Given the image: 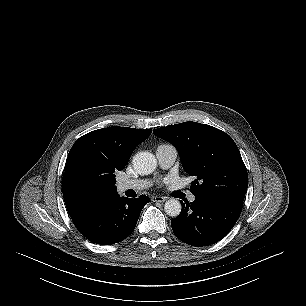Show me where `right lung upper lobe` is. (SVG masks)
<instances>
[{
  "label": "right lung upper lobe",
  "mask_w": 306,
  "mask_h": 306,
  "mask_svg": "<svg viewBox=\"0 0 306 306\" xmlns=\"http://www.w3.org/2000/svg\"><path fill=\"white\" fill-rule=\"evenodd\" d=\"M151 132L152 129L113 126L89 132L74 143L62 178L63 197L72 219L119 196L115 186H101L94 190L80 186L75 176L80 158L87 156L95 165L102 167L101 164L108 163L123 169L136 146L146 140Z\"/></svg>",
  "instance_id": "right-lung-upper-lobe-1"
}]
</instances>
